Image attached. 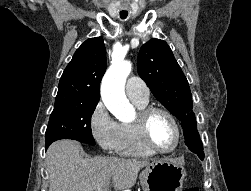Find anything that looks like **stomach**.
<instances>
[{"mask_svg": "<svg viewBox=\"0 0 251 191\" xmlns=\"http://www.w3.org/2000/svg\"><path fill=\"white\" fill-rule=\"evenodd\" d=\"M186 169L166 157L153 159L140 173L143 191H182Z\"/></svg>", "mask_w": 251, "mask_h": 191, "instance_id": "1", "label": "stomach"}]
</instances>
